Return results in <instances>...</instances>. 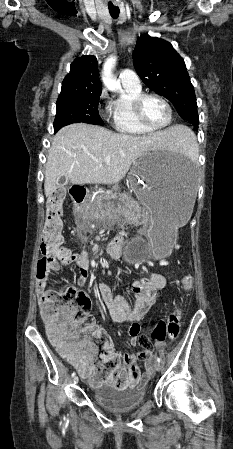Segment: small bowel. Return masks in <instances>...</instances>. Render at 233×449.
Segmentation results:
<instances>
[{
  "instance_id": "1",
  "label": "small bowel",
  "mask_w": 233,
  "mask_h": 449,
  "mask_svg": "<svg viewBox=\"0 0 233 449\" xmlns=\"http://www.w3.org/2000/svg\"><path fill=\"white\" fill-rule=\"evenodd\" d=\"M110 254L112 256L116 255V253L111 251ZM70 264L75 265L79 271L77 284L79 286L85 285L89 271L88 253L86 251L80 253H71L69 251L67 256L55 258L48 264L45 270L38 272L37 289L41 299L46 295L45 289L50 271H56L60 266ZM141 272L146 277L133 283L132 289L135 292L133 298L126 295H113L110 288L105 284H100L98 286L99 293L105 302L113 321L128 324L129 341L133 346L137 345L140 334L138 322L146 315L153 305L157 291L163 289L167 284V280L163 274L152 272L145 267L142 268ZM67 344L70 347V351L67 354H64L58 347H55L69 358L71 363L78 369L79 373L86 378L91 385L95 387L102 385L104 380L101 373L105 371H108L106 382H112L117 378H120L125 385L137 381L136 378L131 376L126 370L120 368L121 361L130 355L121 356L117 354L109 339L102 344L103 353L98 365L95 364L96 348L81 351L74 342ZM154 364L155 358L152 353H150L145 360V374L140 380H145L150 376ZM111 365L113 367L109 368Z\"/></svg>"
}]
</instances>
